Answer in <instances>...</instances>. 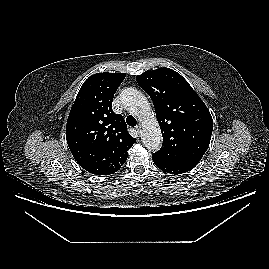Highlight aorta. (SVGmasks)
Here are the masks:
<instances>
[{"mask_svg":"<svg viewBox=\"0 0 269 269\" xmlns=\"http://www.w3.org/2000/svg\"><path fill=\"white\" fill-rule=\"evenodd\" d=\"M124 107L142 122V142L150 151H157L162 134L154 112L145 95L134 88H126L120 94Z\"/></svg>","mask_w":269,"mask_h":269,"instance_id":"obj_1","label":"aorta"}]
</instances>
